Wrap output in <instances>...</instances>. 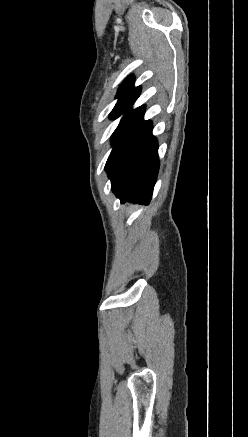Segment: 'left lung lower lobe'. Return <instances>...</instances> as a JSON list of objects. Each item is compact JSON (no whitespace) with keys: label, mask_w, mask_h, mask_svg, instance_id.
<instances>
[{"label":"left lung lower lobe","mask_w":248,"mask_h":437,"mask_svg":"<svg viewBox=\"0 0 248 437\" xmlns=\"http://www.w3.org/2000/svg\"><path fill=\"white\" fill-rule=\"evenodd\" d=\"M145 107H139L113 133V149L105 170L112 191L125 201L147 204L156 182L158 144L152 135L151 121H144Z\"/></svg>","instance_id":"left-lung-lower-lobe-1"}]
</instances>
